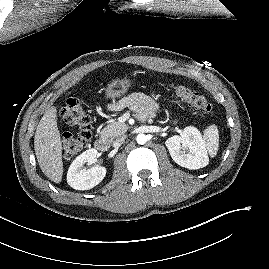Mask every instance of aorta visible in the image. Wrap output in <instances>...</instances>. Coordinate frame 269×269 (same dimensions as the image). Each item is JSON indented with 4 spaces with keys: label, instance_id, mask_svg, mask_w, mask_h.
I'll use <instances>...</instances> for the list:
<instances>
[{
    "label": "aorta",
    "instance_id": "762f6f07",
    "mask_svg": "<svg viewBox=\"0 0 269 269\" xmlns=\"http://www.w3.org/2000/svg\"><path fill=\"white\" fill-rule=\"evenodd\" d=\"M136 141L138 144L143 145L147 142V137L145 134H138Z\"/></svg>",
    "mask_w": 269,
    "mask_h": 269
}]
</instances>
